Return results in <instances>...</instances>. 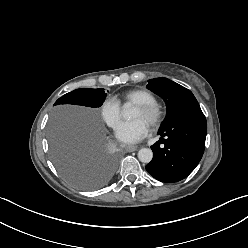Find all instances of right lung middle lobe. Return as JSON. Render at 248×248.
<instances>
[{"instance_id": "right-lung-middle-lobe-1", "label": "right lung middle lobe", "mask_w": 248, "mask_h": 248, "mask_svg": "<svg viewBox=\"0 0 248 248\" xmlns=\"http://www.w3.org/2000/svg\"><path fill=\"white\" fill-rule=\"evenodd\" d=\"M106 93L102 88H82L59 98L54 105L76 104L100 107ZM103 136L97 121L81 118L67 129L54 125L49 132L53 162L60 174L72 185L84 190L98 189L112 178L116 161L102 153Z\"/></svg>"}]
</instances>
